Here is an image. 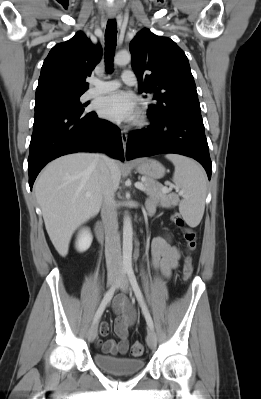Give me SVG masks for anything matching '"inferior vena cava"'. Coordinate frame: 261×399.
<instances>
[{
	"label": "inferior vena cava",
	"mask_w": 261,
	"mask_h": 399,
	"mask_svg": "<svg viewBox=\"0 0 261 399\" xmlns=\"http://www.w3.org/2000/svg\"><path fill=\"white\" fill-rule=\"evenodd\" d=\"M107 166L102 185V219L105 228V257L109 273H119L122 268L121 244L118 232L117 205L109 166L111 159L102 155Z\"/></svg>",
	"instance_id": "602c4592"
}]
</instances>
